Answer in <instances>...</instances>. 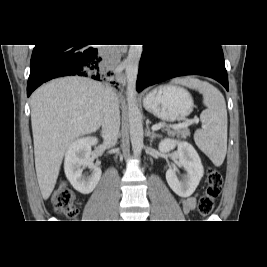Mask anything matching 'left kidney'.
<instances>
[{
    "label": "left kidney",
    "instance_id": "1",
    "mask_svg": "<svg viewBox=\"0 0 267 267\" xmlns=\"http://www.w3.org/2000/svg\"><path fill=\"white\" fill-rule=\"evenodd\" d=\"M176 146L179 157L178 166L183 167L186 174L182 179L178 178L176 174L177 167H173L167 170L166 180L170 188L178 196L186 198L196 190L204 175V169L197 151L188 142L166 138L159 143V150L166 153Z\"/></svg>",
    "mask_w": 267,
    "mask_h": 267
}]
</instances>
